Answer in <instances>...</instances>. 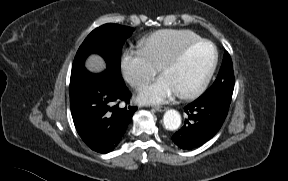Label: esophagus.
<instances>
[{
  "instance_id": "34e87169",
  "label": "esophagus",
  "mask_w": 288,
  "mask_h": 181,
  "mask_svg": "<svg viewBox=\"0 0 288 181\" xmlns=\"http://www.w3.org/2000/svg\"><path fill=\"white\" fill-rule=\"evenodd\" d=\"M154 109L158 112H164L167 108L163 106H155Z\"/></svg>"
}]
</instances>
